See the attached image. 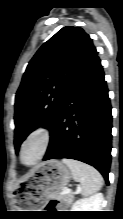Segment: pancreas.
<instances>
[{
  "label": "pancreas",
  "mask_w": 123,
  "mask_h": 219,
  "mask_svg": "<svg viewBox=\"0 0 123 219\" xmlns=\"http://www.w3.org/2000/svg\"><path fill=\"white\" fill-rule=\"evenodd\" d=\"M56 198L58 200H61V201L66 202L68 204H71L73 202L74 196L71 193L64 194L63 192H61V193L56 195Z\"/></svg>",
  "instance_id": "pancreas-1"
}]
</instances>
